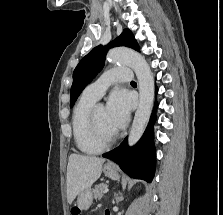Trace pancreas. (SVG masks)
<instances>
[{
  "label": "pancreas",
  "mask_w": 223,
  "mask_h": 215,
  "mask_svg": "<svg viewBox=\"0 0 223 215\" xmlns=\"http://www.w3.org/2000/svg\"><path fill=\"white\" fill-rule=\"evenodd\" d=\"M105 187H107L106 183H98V185H95L94 195H95L96 199H97V197H98V199H100V197H102V195H103L102 191H103V188H105Z\"/></svg>",
  "instance_id": "cf45deb5"
}]
</instances>
